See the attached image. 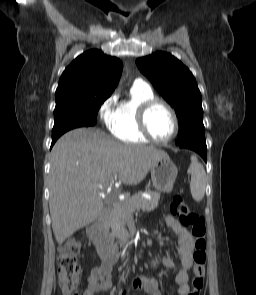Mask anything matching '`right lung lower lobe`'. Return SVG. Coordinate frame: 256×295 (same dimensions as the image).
Masks as SVG:
<instances>
[{
    "instance_id": "obj_1",
    "label": "right lung lower lobe",
    "mask_w": 256,
    "mask_h": 295,
    "mask_svg": "<svg viewBox=\"0 0 256 295\" xmlns=\"http://www.w3.org/2000/svg\"><path fill=\"white\" fill-rule=\"evenodd\" d=\"M96 124V120H93V119H89L86 123V125H84L85 127H88V126H94ZM68 131V130H67ZM66 131H63V132H58V133H54L52 134V144H51V147L53 146V144L56 142V140L62 135L64 134Z\"/></svg>"
}]
</instances>
